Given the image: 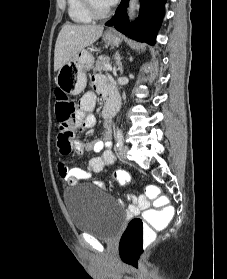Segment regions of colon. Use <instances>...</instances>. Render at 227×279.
Masks as SVG:
<instances>
[{"instance_id": "5ec220e1", "label": "colon", "mask_w": 227, "mask_h": 279, "mask_svg": "<svg viewBox=\"0 0 227 279\" xmlns=\"http://www.w3.org/2000/svg\"><path fill=\"white\" fill-rule=\"evenodd\" d=\"M75 102L67 94L60 93L56 102L55 115L61 128L71 133L74 125ZM114 180L119 185H125L131 181V174L126 170H118L113 173ZM148 195L157 207L147 209L141 216L134 217L128 223L119 247L121 260L130 266H136L143 252V243L151 238L154 230L161 228L165 221L174 217V211L167 203L168 197L161 190L147 184Z\"/></svg>"}]
</instances>
